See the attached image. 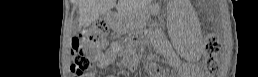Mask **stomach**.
<instances>
[{"label":"stomach","mask_w":258,"mask_h":77,"mask_svg":"<svg viewBox=\"0 0 258 77\" xmlns=\"http://www.w3.org/2000/svg\"><path fill=\"white\" fill-rule=\"evenodd\" d=\"M131 22L128 19H123V28H126Z\"/></svg>","instance_id":"0dacf381"}]
</instances>
